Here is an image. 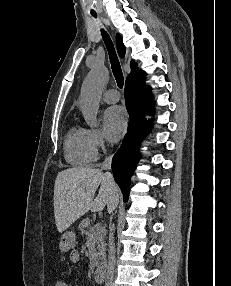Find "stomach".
Returning a JSON list of instances; mask_svg holds the SVG:
<instances>
[{
    "mask_svg": "<svg viewBox=\"0 0 231 286\" xmlns=\"http://www.w3.org/2000/svg\"><path fill=\"white\" fill-rule=\"evenodd\" d=\"M76 239V235L72 231L65 232L60 239L59 248L62 252H67L71 249Z\"/></svg>",
    "mask_w": 231,
    "mask_h": 286,
    "instance_id": "obj_1",
    "label": "stomach"
}]
</instances>
